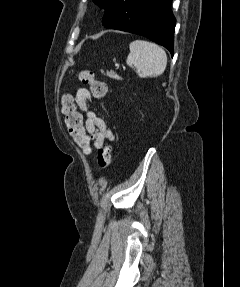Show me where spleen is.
I'll use <instances>...</instances> for the list:
<instances>
[{
	"instance_id": "obj_1",
	"label": "spleen",
	"mask_w": 240,
	"mask_h": 287,
	"mask_svg": "<svg viewBox=\"0 0 240 287\" xmlns=\"http://www.w3.org/2000/svg\"><path fill=\"white\" fill-rule=\"evenodd\" d=\"M126 63L142 77H158L167 65V55L157 44L145 40H134L129 45Z\"/></svg>"
}]
</instances>
